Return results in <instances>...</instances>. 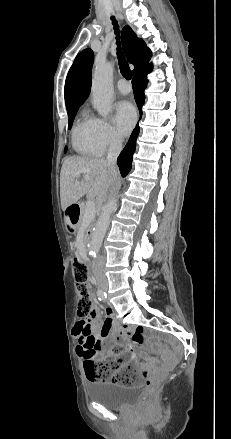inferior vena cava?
Wrapping results in <instances>:
<instances>
[{"instance_id":"1","label":"inferior vena cava","mask_w":231,"mask_h":439,"mask_svg":"<svg viewBox=\"0 0 231 439\" xmlns=\"http://www.w3.org/2000/svg\"><path fill=\"white\" fill-rule=\"evenodd\" d=\"M122 150V140L119 137H113L110 143V147L108 149L107 155V163L111 166V168L116 171V162L117 158ZM105 264V259L102 256H99L97 261L93 265L94 273L97 275H101L103 278V267Z\"/></svg>"}]
</instances>
